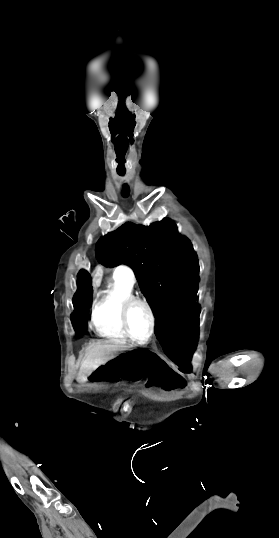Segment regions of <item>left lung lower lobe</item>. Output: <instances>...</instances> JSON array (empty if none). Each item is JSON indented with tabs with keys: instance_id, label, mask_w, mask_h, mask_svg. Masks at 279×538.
<instances>
[{
	"instance_id": "1",
	"label": "left lung lower lobe",
	"mask_w": 279,
	"mask_h": 538,
	"mask_svg": "<svg viewBox=\"0 0 279 538\" xmlns=\"http://www.w3.org/2000/svg\"><path fill=\"white\" fill-rule=\"evenodd\" d=\"M167 357L175 362L182 372H191V357L198 340V327L186 332H155Z\"/></svg>"
}]
</instances>
